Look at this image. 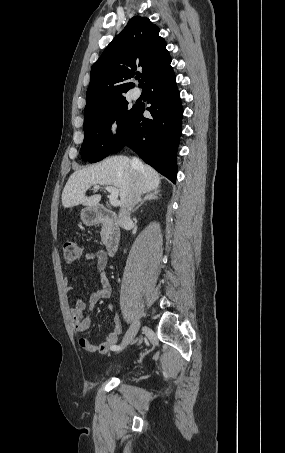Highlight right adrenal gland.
<instances>
[{"label": "right adrenal gland", "mask_w": 285, "mask_h": 453, "mask_svg": "<svg viewBox=\"0 0 285 453\" xmlns=\"http://www.w3.org/2000/svg\"><path fill=\"white\" fill-rule=\"evenodd\" d=\"M158 196H159L158 190H153V191L147 192V194L145 195L143 200H141L140 204L136 208H134V210L132 212L134 213L136 210H138L144 204V202H146L148 200L158 199Z\"/></svg>", "instance_id": "2a0ac1e0"}]
</instances>
